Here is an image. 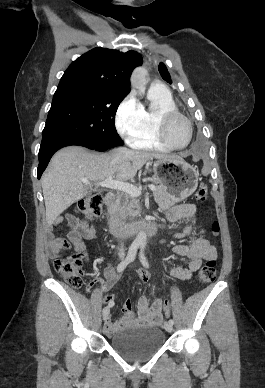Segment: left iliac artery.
Returning <instances> with one entry per match:
<instances>
[{
    "instance_id": "44dca946",
    "label": "left iliac artery",
    "mask_w": 265,
    "mask_h": 388,
    "mask_svg": "<svg viewBox=\"0 0 265 388\" xmlns=\"http://www.w3.org/2000/svg\"><path fill=\"white\" fill-rule=\"evenodd\" d=\"M140 261H141V263L143 264L144 267H148L149 266L148 261H147L145 255H144V245L141 246ZM168 322L170 324H172V325L174 324V320H172V319H170Z\"/></svg>"
}]
</instances>
